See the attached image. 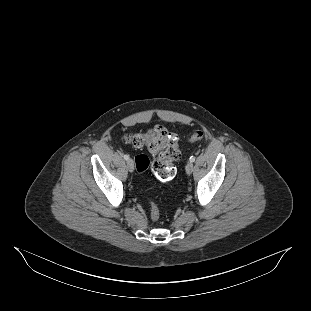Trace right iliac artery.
Here are the masks:
<instances>
[{
	"label": "right iliac artery",
	"mask_w": 311,
	"mask_h": 311,
	"mask_svg": "<svg viewBox=\"0 0 311 311\" xmlns=\"http://www.w3.org/2000/svg\"><path fill=\"white\" fill-rule=\"evenodd\" d=\"M124 159H125V160H128V159H129V156H128V155H124Z\"/></svg>",
	"instance_id": "82829eb1"
}]
</instances>
